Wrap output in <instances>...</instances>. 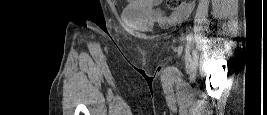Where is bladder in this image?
<instances>
[{"instance_id":"bladder-1","label":"bladder","mask_w":267,"mask_h":115,"mask_svg":"<svg viewBox=\"0 0 267 115\" xmlns=\"http://www.w3.org/2000/svg\"><path fill=\"white\" fill-rule=\"evenodd\" d=\"M135 28L139 29V30H146L148 27L146 26H136Z\"/></svg>"}]
</instances>
